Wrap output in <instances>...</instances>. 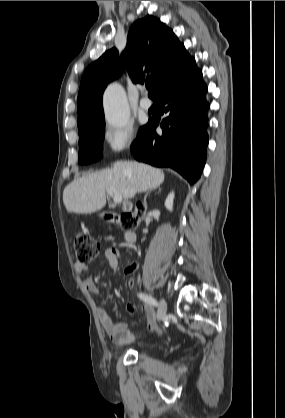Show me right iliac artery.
<instances>
[{"instance_id": "82829eb1", "label": "right iliac artery", "mask_w": 285, "mask_h": 418, "mask_svg": "<svg viewBox=\"0 0 285 418\" xmlns=\"http://www.w3.org/2000/svg\"><path fill=\"white\" fill-rule=\"evenodd\" d=\"M139 297H140L141 300H143L144 302H146L150 305L158 306V302L154 298H152L151 296H148L144 293H140Z\"/></svg>"}]
</instances>
